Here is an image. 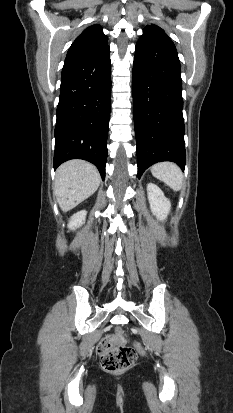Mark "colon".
I'll return each mask as SVG.
<instances>
[{"label":"colon","instance_id":"1","mask_svg":"<svg viewBox=\"0 0 233 413\" xmlns=\"http://www.w3.org/2000/svg\"><path fill=\"white\" fill-rule=\"evenodd\" d=\"M97 349L102 368L111 373H121L129 369L136 361L137 351L142 350L139 344L126 345L124 331L120 328L103 338Z\"/></svg>","mask_w":233,"mask_h":413}]
</instances>
